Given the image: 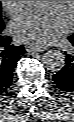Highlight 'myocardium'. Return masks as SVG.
<instances>
[{
	"label": "myocardium",
	"instance_id": "1",
	"mask_svg": "<svg viewBox=\"0 0 74 122\" xmlns=\"http://www.w3.org/2000/svg\"><path fill=\"white\" fill-rule=\"evenodd\" d=\"M71 20L74 21V1H71Z\"/></svg>",
	"mask_w": 74,
	"mask_h": 122
}]
</instances>
